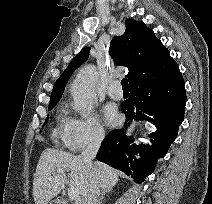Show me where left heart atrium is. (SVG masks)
Segmentation results:
<instances>
[{
    "mask_svg": "<svg viewBox=\"0 0 212 204\" xmlns=\"http://www.w3.org/2000/svg\"><path fill=\"white\" fill-rule=\"evenodd\" d=\"M104 120L108 125H115L119 120V114L116 107L112 104H108L103 109Z\"/></svg>",
    "mask_w": 212,
    "mask_h": 204,
    "instance_id": "1",
    "label": "left heart atrium"
}]
</instances>
